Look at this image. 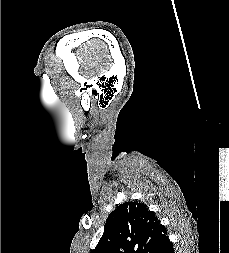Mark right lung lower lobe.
Here are the masks:
<instances>
[{"instance_id":"right-lung-lower-lobe-1","label":"right lung lower lobe","mask_w":229,"mask_h":253,"mask_svg":"<svg viewBox=\"0 0 229 253\" xmlns=\"http://www.w3.org/2000/svg\"><path fill=\"white\" fill-rule=\"evenodd\" d=\"M157 253H174L173 244L170 241H168L157 251Z\"/></svg>"}]
</instances>
